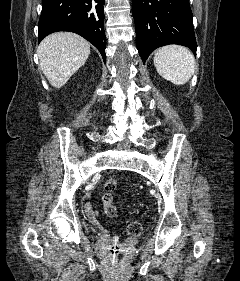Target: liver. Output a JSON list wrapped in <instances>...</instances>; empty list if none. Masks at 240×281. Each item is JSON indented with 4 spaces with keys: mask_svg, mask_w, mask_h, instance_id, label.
I'll use <instances>...</instances> for the list:
<instances>
[{
    "mask_svg": "<svg viewBox=\"0 0 240 281\" xmlns=\"http://www.w3.org/2000/svg\"><path fill=\"white\" fill-rule=\"evenodd\" d=\"M37 54L49 83L60 88L84 65L90 54V43L75 33L57 32L43 39Z\"/></svg>",
    "mask_w": 240,
    "mask_h": 281,
    "instance_id": "liver-1",
    "label": "liver"
}]
</instances>
